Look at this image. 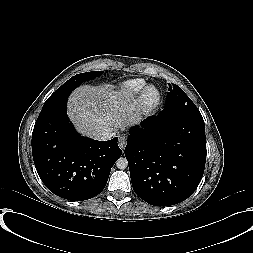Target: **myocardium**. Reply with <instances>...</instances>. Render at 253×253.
<instances>
[{"label": "myocardium", "instance_id": "myocardium-1", "mask_svg": "<svg viewBox=\"0 0 253 253\" xmlns=\"http://www.w3.org/2000/svg\"><path fill=\"white\" fill-rule=\"evenodd\" d=\"M153 94V96H151ZM161 101L159 89L150 84L144 87L139 96V109L142 113L148 114L155 109Z\"/></svg>", "mask_w": 253, "mask_h": 253}]
</instances>
